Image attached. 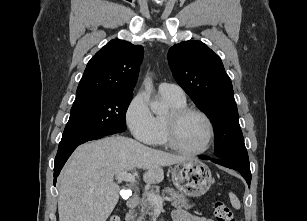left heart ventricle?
Segmentation results:
<instances>
[{"mask_svg":"<svg viewBox=\"0 0 307 221\" xmlns=\"http://www.w3.org/2000/svg\"><path fill=\"white\" fill-rule=\"evenodd\" d=\"M207 137V124L197 114L185 116L177 125L176 142L186 150H199L203 148L206 144Z\"/></svg>","mask_w":307,"mask_h":221,"instance_id":"b2bd125f","label":"left heart ventricle"}]
</instances>
